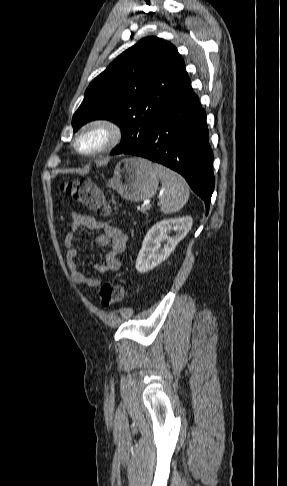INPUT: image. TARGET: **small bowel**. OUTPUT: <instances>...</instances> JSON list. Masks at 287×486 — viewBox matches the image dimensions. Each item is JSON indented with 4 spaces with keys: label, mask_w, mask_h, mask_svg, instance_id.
<instances>
[{
    "label": "small bowel",
    "mask_w": 287,
    "mask_h": 486,
    "mask_svg": "<svg viewBox=\"0 0 287 486\" xmlns=\"http://www.w3.org/2000/svg\"><path fill=\"white\" fill-rule=\"evenodd\" d=\"M79 228L102 231L97 236L96 241L101 246L110 248L105 255V261L94 265V269L100 275L116 271L120 268L119 256L125 251L127 237L120 228L98 221L92 216L76 212L71 214V231L66 235L64 240L67 249L66 259L70 271V279L77 286L95 288L100 285L101 280L95 277H87L78 267L80 253L76 244V231Z\"/></svg>",
    "instance_id": "small-bowel-1"
}]
</instances>
